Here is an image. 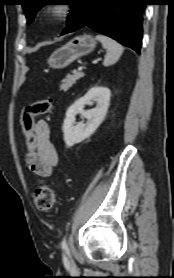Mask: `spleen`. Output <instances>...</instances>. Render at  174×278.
Segmentation results:
<instances>
[{"mask_svg":"<svg viewBox=\"0 0 174 278\" xmlns=\"http://www.w3.org/2000/svg\"><path fill=\"white\" fill-rule=\"evenodd\" d=\"M96 40L101 42L103 48L107 50L103 65L109 66L116 63L123 53V47L117 41L105 35H97Z\"/></svg>","mask_w":174,"mask_h":278,"instance_id":"3e777b00","label":"spleen"}]
</instances>
